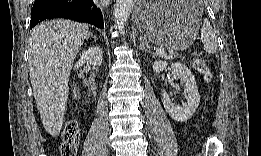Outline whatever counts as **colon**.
Segmentation results:
<instances>
[{
	"mask_svg": "<svg viewBox=\"0 0 261 156\" xmlns=\"http://www.w3.org/2000/svg\"><path fill=\"white\" fill-rule=\"evenodd\" d=\"M193 68L201 74L206 81L212 80V72L202 61L192 62ZM80 139V128L75 120L68 121L62 130V140L60 143V154L63 156H75Z\"/></svg>",
	"mask_w": 261,
	"mask_h": 156,
	"instance_id": "obj_1",
	"label": "colon"
}]
</instances>
